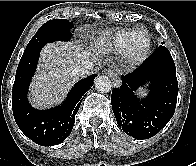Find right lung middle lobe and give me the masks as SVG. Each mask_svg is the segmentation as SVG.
I'll use <instances>...</instances> for the list:
<instances>
[{
	"mask_svg": "<svg viewBox=\"0 0 196 166\" xmlns=\"http://www.w3.org/2000/svg\"><path fill=\"white\" fill-rule=\"evenodd\" d=\"M72 22L67 19H54L43 24L28 43L26 50L43 47L53 41H68L71 39Z\"/></svg>",
	"mask_w": 196,
	"mask_h": 166,
	"instance_id": "right-lung-middle-lobe-1",
	"label": "right lung middle lobe"
}]
</instances>
